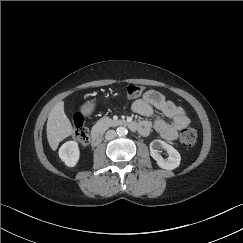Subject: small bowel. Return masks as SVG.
<instances>
[{
  "instance_id": "obj_1",
  "label": "small bowel",
  "mask_w": 243,
  "mask_h": 243,
  "mask_svg": "<svg viewBox=\"0 0 243 243\" xmlns=\"http://www.w3.org/2000/svg\"><path fill=\"white\" fill-rule=\"evenodd\" d=\"M131 108L134 113L143 117L152 116L154 109H157L170 120L167 122L163 118H156L153 124L148 120L140 121L138 132L143 136L149 135L154 126L161 138L166 141H174L178 137L179 130L190 124L183 108L167 100L156 90L146 91L141 98L132 103Z\"/></svg>"
}]
</instances>
